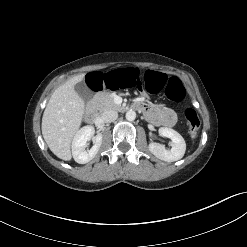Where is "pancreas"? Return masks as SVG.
<instances>
[{
    "label": "pancreas",
    "mask_w": 247,
    "mask_h": 247,
    "mask_svg": "<svg viewBox=\"0 0 247 247\" xmlns=\"http://www.w3.org/2000/svg\"><path fill=\"white\" fill-rule=\"evenodd\" d=\"M97 107L100 111L106 109L121 110V106L114 103V96L110 93H99L96 97Z\"/></svg>",
    "instance_id": "obj_1"
}]
</instances>
